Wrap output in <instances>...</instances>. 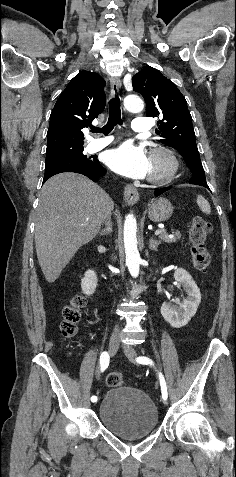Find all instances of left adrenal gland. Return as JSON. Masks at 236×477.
<instances>
[{
  "label": "left adrenal gland",
  "instance_id": "a2214340",
  "mask_svg": "<svg viewBox=\"0 0 236 477\" xmlns=\"http://www.w3.org/2000/svg\"><path fill=\"white\" fill-rule=\"evenodd\" d=\"M161 244L160 241H156L153 238H150L149 240V249L157 251L158 246Z\"/></svg>",
  "mask_w": 236,
  "mask_h": 477
}]
</instances>
